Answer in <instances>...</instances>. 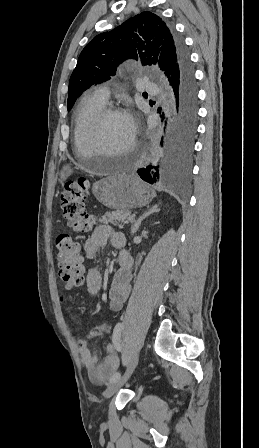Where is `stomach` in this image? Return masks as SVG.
I'll list each match as a JSON object with an SVG mask.
<instances>
[{"instance_id": "obj_1", "label": "stomach", "mask_w": 259, "mask_h": 448, "mask_svg": "<svg viewBox=\"0 0 259 448\" xmlns=\"http://www.w3.org/2000/svg\"><path fill=\"white\" fill-rule=\"evenodd\" d=\"M69 174H71V168L70 166H63V170H61V180L63 182V180H66V178H68Z\"/></svg>"}]
</instances>
